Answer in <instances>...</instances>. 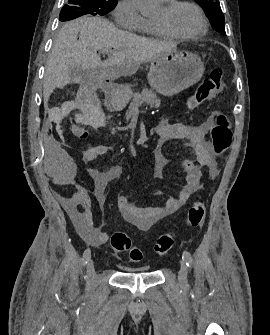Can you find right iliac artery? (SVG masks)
I'll use <instances>...</instances> for the list:
<instances>
[{"instance_id":"right-iliac-artery-1","label":"right iliac artery","mask_w":270,"mask_h":335,"mask_svg":"<svg viewBox=\"0 0 270 335\" xmlns=\"http://www.w3.org/2000/svg\"><path fill=\"white\" fill-rule=\"evenodd\" d=\"M90 256H91V250L88 248L84 251L83 257H82V262L84 265L88 263Z\"/></svg>"}]
</instances>
